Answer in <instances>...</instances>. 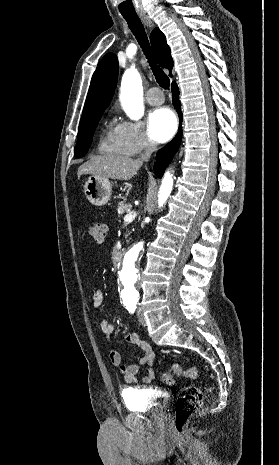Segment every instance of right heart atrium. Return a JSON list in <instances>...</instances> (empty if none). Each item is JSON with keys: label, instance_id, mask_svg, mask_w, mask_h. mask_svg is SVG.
<instances>
[{"label": "right heart atrium", "instance_id": "1", "mask_svg": "<svg viewBox=\"0 0 279 465\" xmlns=\"http://www.w3.org/2000/svg\"><path fill=\"white\" fill-rule=\"evenodd\" d=\"M121 136L131 154H138L154 147V142L138 124L124 121L119 125Z\"/></svg>", "mask_w": 279, "mask_h": 465}]
</instances>
